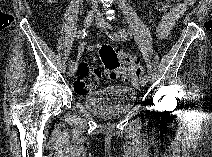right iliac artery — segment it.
<instances>
[{"mask_svg":"<svg viewBox=\"0 0 212 157\" xmlns=\"http://www.w3.org/2000/svg\"><path fill=\"white\" fill-rule=\"evenodd\" d=\"M85 36H86V31H85V30H79V31H77V33H76L77 39H82V38H84ZM69 67H72V64H71V63L69 64Z\"/></svg>","mask_w":212,"mask_h":157,"instance_id":"1","label":"right iliac artery"}]
</instances>
